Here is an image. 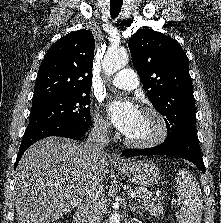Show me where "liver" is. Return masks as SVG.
I'll return each mask as SVG.
<instances>
[{
	"label": "liver",
	"instance_id": "6515ba94",
	"mask_svg": "<svg viewBox=\"0 0 221 223\" xmlns=\"http://www.w3.org/2000/svg\"><path fill=\"white\" fill-rule=\"evenodd\" d=\"M90 159L85 143L44 138L23 154L15 173L18 223H51L77 207L85 195ZM109 173L107 155L99 169Z\"/></svg>",
	"mask_w": 221,
	"mask_h": 223
}]
</instances>
